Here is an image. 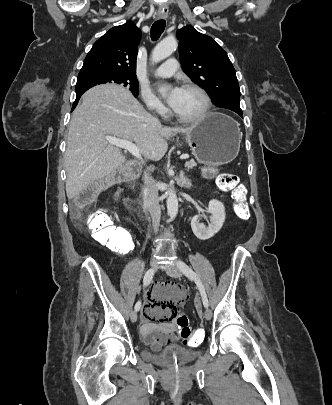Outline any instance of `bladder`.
I'll return each instance as SVG.
<instances>
[{
	"label": "bladder",
	"mask_w": 332,
	"mask_h": 405,
	"mask_svg": "<svg viewBox=\"0 0 332 405\" xmlns=\"http://www.w3.org/2000/svg\"><path fill=\"white\" fill-rule=\"evenodd\" d=\"M145 348L140 351L144 361L167 366L185 365L194 361L199 350L187 349L177 344L155 343L150 344L143 339Z\"/></svg>",
	"instance_id": "1"
}]
</instances>
